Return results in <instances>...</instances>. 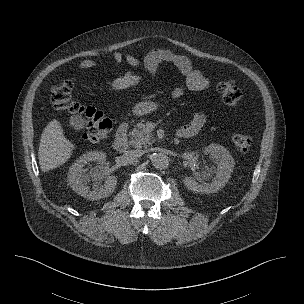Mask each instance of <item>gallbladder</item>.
I'll return each mask as SVG.
<instances>
[{
    "instance_id": "1",
    "label": "gallbladder",
    "mask_w": 304,
    "mask_h": 304,
    "mask_svg": "<svg viewBox=\"0 0 304 304\" xmlns=\"http://www.w3.org/2000/svg\"><path fill=\"white\" fill-rule=\"evenodd\" d=\"M85 123V119L80 115H73L69 119V125L75 130H82Z\"/></svg>"
}]
</instances>
